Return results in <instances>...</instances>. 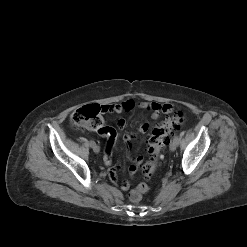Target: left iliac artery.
I'll return each instance as SVG.
<instances>
[{
    "mask_svg": "<svg viewBox=\"0 0 247 247\" xmlns=\"http://www.w3.org/2000/svg\"><path fill=\"white\" fill-rule=\"evenodd\" d=\"M174 140H175L177 143H179V140H180V139H179L178 135H175V136H174Z\"/></svg>",
    "mask_w": 247,
    "mask_h": 247,
    "instance_id": "left-iliac-artery-1",
    "label": "left iliac artery"
}]
</instances>
